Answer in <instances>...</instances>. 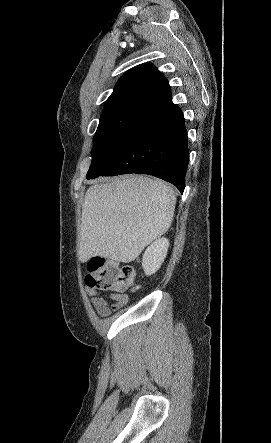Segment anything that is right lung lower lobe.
Segmentation results:
<instances>
[{"label": "right lung lower lobe", "mask_w": 271, "mask_h": 443, "mask_svg": "<svg viewBox=\"0 0 271 443\" xmlns=\"http://www.w3.org/2000/svg\"><path fill=\"white\" fill-rule=\"evenodd\" d=\"M189 161L183 113L171 99L144 113L97 173L87 176L149 174L174 184L181 193Z\"/></svg>", "instance_id": "1"}]
</instances>
